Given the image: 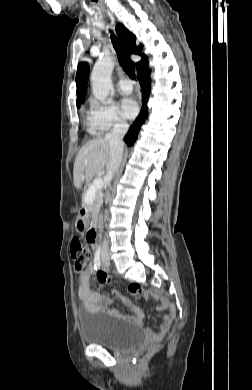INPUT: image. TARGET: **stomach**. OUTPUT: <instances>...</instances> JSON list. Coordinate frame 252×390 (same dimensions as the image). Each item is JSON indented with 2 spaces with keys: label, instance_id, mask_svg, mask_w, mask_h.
Returning a JSON list of instances; mask_svg holds the SVG:
<instances>
[{
  "label": "stomach",
  "instance_id": "1",
  "mask_svg": "<svg viewBox=\"0 0 252 390\" xmlns=\"http://www.w3.org/2000/svg\"><path fill=\"white\" fill-rule=\"evenodd\" d=\"M87 227L86 221L83 217H78V219L75 222V228L77 231H83Z\"/></svg>",
  "mask_w": 252,
  "mask_h": 390
}]
</instances>
